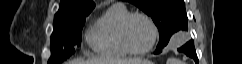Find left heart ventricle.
Wrapping results in <instances>:
<instances>
[{
  "instance_id": "1",
  "label": "left heart ventricle",
  "mask_w": 242,
  "mask_h": 64,
  "mask_svg": "<svg viewBox=\"0 0 242 64\" xmlns=\"http://www.w3.org/2000/svg\"><path fill=\"white\" fill-rule=\"evenodd\" d=\"M153 33L149 23L142 17L133 18L127 29V39L135 50L147 48L152 41Z\"/></svg>"
}]
</instances>
